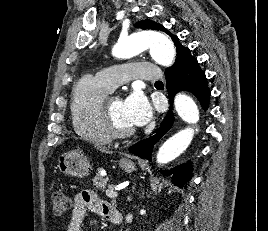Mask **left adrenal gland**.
Here are the masks:
<instances>
[{"mask_svg":"<svg viewBox=\"0 0 268 231\" xmlns=\"http://www.w3.org/2000/svg\"><path fill=\"white\" fill-rule=\"evenodd\" d=\"M128 200L131 201L132 200L131 197H128Z\"/></svg>","mask_w":268,"mask_h":231,"instance_id":"obj_1","label":"left adrenal gland"}]
</instances>
